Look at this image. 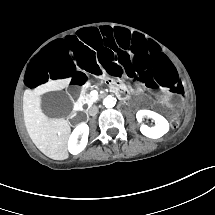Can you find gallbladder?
<instances>
[{"mask_svg": "<svg viewBox=\"0 0 215 215\" xmlns=\"http://www.w3.org/2000/svg\"><path fill=\"white\" fill-rule=\"evenodd\" d=\"M40 105L43 114L51 118L67 117L73 108V103L69 102L68 96L60 90L43 94Z\"/></svg>", "mask_w": 215, "mask_h": 215, "instance_id": "bac80fb5", "label": "gallbladder"}]
</instances>
